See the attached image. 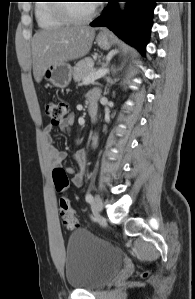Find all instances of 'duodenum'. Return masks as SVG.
Returning a JSON list of instances; mask_svg holds the SVG:
<instances>
[{
  "label": "duodenum",
  "mask_w": 195,
  "mask_h": 299,
  "mask_svg": "<svg viewBox=\"0 0 195 299\" xmlns=\"http://www.w3.org/2000/svg\"><path fill=\"white\" fill-rule=\"evenodd\" d=\"M97 112V105L94 103H90L88 106V114L91 118H94Z\"/></svg>",
  "instance_id": "1"
}]
</instances>
